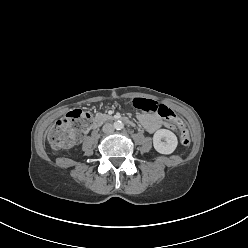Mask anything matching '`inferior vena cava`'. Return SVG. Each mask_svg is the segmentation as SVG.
<instances>
[{
	"mask_svg": "<svg viewBox=\"0 0 248 248\" xmlns=\"http://www.w3.org/2000/svg\"><path fill=\"white\" fill-rule=\"evenodd\" d=\"M102 130L104 133L110 134L114 132V126L110 123H106L105 125H103Z\"/></svg>",
	"mask_w": 248,
	"mask_h": 248,
	"instance_id": "1",
	"label": "inferior vena cava"
}]
</instances>
